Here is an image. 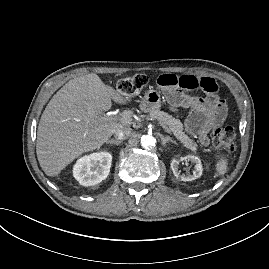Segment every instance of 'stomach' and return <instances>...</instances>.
I'll list each match as a JSON object with an SVG mask.
<instances>
[{
	"mask_svg": "<svg viewBox=\"0 0 269 269\" xmlns=\"http://www.w3.org/2000/svg\"><path fill=\"white\" fill-rule=\"evenodd\" d=\"M161 107V95L160 92L154 89H150L146 92L144 98L141 100L140 108L144 112H152L159 110Z\"/></svg>",
	"mask_w": 269,
	"mask_h": 269,
	"instance_id": "obj_1",
	"label": "stomach"
}]
</instances>
